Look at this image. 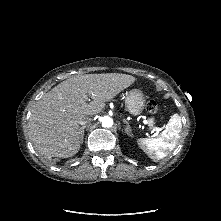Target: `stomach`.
I'll use <instances>...</instances> for the list:
<instances>
[{
	"label": "stomach",
	"mask_w": 221,
	"mask_h": 221,
	"mask_svg": "<svg viewBox=\"0 0 221 221\" xmlns=\"http://www.w3.org/2000/svg\"><path fill=\"white\" fill-rule=\"evenodd\" d=\"M145 106V97L138 89H132L126 94L125 107L126 110L133 116L140 115Z\"/></svg>",
	"instance_id": "stomach-1"
}]
</instances>
